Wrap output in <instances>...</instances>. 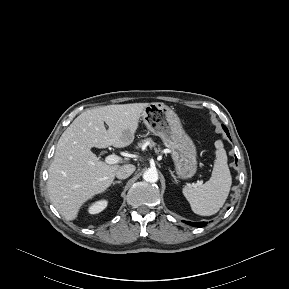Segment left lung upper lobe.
<instances>
[{"instance_id": "5c2ea615", "label": "left lung upper lobe", "mask_w": 289, "mask_h": 289, "mask_svg": "<svg viewBox=\"0 0 289 289\" xmlns=\"http://www.w3.org/2000/svg\"><path fill=\"white\" fill-rule=\"evenodd\" d=\"M223 129L225 130V129H227V128L223 125Z\"/></svg>"}]
</instances>
